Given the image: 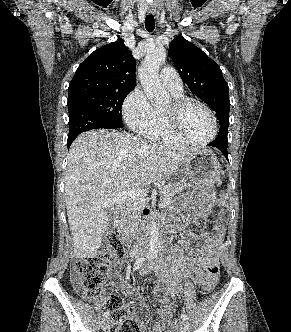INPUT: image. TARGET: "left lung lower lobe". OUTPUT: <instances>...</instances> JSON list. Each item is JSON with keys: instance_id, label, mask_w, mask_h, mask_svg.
Listing matches in <instances>:
<instances>
[{"instance_id": "obj_1", "label": "left lung lower lobe", "mask_w": 291, "mask_h": 332, "mask_svg": "<svg viewBox=\"0 0 291 332\" xmlns=\"http://www.w3.org/2000/svg\"><path fill=\"white\" fill-rule=\"evenodd\" d=\"M209 146H213L218 148L227 158L228 160V153H227V132L224 131L223 128H220V132L212 143Z\"/></svg>"}]
</instances>
